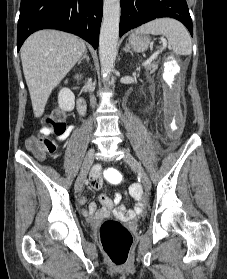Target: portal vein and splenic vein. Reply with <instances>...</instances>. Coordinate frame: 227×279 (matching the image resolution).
I'll return each instance as SVG.
<instances>
[{
    "label": "portal vein and splenic vein",
    "mask_w": 227,
    "mask_h": 279,
    "mask_svg": "<svg viewBox=\"0 0 227 279\" xmlns=\"http://www.w3.org/2000/svg\"><path fill=\"white\" fill-rule=\"evenodd\" d=\"M162 41H163V46L165 47V46H166V41H165L164 39H163ZM159 53H160V52L157 51V52H155L154 54H152V55L150 56V58L147 59V60L143 63V65L146 66V65L150 64L154 59L157 58V56L159 55Z\"/></svg>",
    "instance_id": "1"
}]
</instances>
